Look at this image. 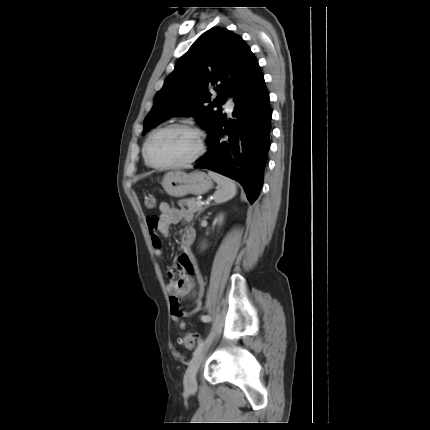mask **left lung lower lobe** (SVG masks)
<instances>
[{
  "instance_id": "obj_1",
  "label": "left lung lower lobe",
  "mask_w": 430,
  "mask_h": 430,
  "mask_svg": "<svg viewBox=\"0 0 430 430\" xmlns=\"http://www.w3.org/2000/svg\"><path fill=\"white\" fill-rule=\"evenodd\" d=\"M232 115H220L209 127L208 151L195 168H206L238 181L252 204L260 193L270 147L272 110L260 68L233 96Z\"/></svg>"
}]
</instances>
